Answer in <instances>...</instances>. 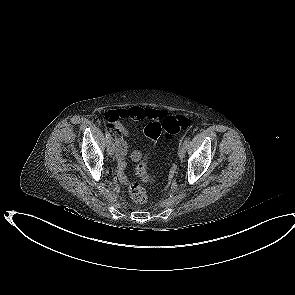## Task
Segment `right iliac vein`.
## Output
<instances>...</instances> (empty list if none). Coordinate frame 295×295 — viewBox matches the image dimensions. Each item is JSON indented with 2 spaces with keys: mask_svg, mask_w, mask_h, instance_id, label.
I'll list each match as a JSON object with an SVG mask.
<instances>
[{
  "mask_svg": "<svg viewBox=\"0 0 295 295\" xmlns=\"http://www.w3.org/2000/svg\"><path fill=\"white\" fill-rule=\"evenodd\" d=\"M107 143H108L107 153L108 155L113 156L116 151L115 144L112 141H108Z\"/></svg>",
  "mask_w": 295,
  "mask_h": 295,
  "instance_id": "63e3f726",
  "label": "right iliac vein"
}]
</instances>
